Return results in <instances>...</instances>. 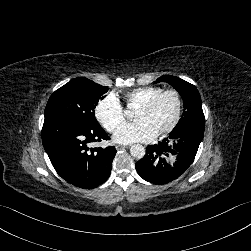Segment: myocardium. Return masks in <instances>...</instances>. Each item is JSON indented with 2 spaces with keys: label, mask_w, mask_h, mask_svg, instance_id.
I'll list each match as a JSON object with an SVG mask.
<instances>
[{
  "label": "myocardium",
  "mask_w": 251,
  "mask_h": 251,
  "mask_svg": "<svg viewBox=\"0 0 251 251\" xmlns=\"http://www.w3.org/2000/svg\"><path fill=\"white\" fill-rule=\"evenodd\" d=\"M167 95L175 96V98L177 100V113H176L174 120L170 124H168L167 126L161 128L159 130L160 134L169 133V132L173 131L180 124L182 117H183V110H184V102H183V97H182L181 93L176 89H166V90H163L162 92H160L159 94L155 95L149 101H147L146 103H144L140 106V108L151 110L158 104V102L163 97H165Z\"/></svg>",
  "instance_id": "myocardium-1"
}]
</instances>
